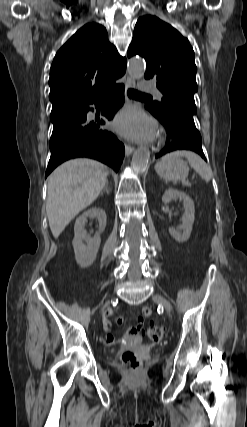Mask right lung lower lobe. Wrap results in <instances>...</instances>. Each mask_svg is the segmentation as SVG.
<instances>
[{
	"instance_id": "1",
	"label": "right lung lower lobe",
	"mask_w": 247,
	"mask_h": 427,
	"mask_svg": "<svg viewBox=\"0 0 247 427\" xmlns=\"http://www.w3.org/2000/svg\"><path fill=\"white\" fill-rule=\"evenodd\" d=\"M124 86L116 85L102 97L80 105H66L52 109L50 120L53 132L50 138L51 156L45 173V178L62 162L77 158L88 157L99 160L116 172L122 163L124 145L111 132L103 130L104 119L87 117L89 104L95 103L101 109V114L108 120L123 105ZM113 101L106 108V104Z\"/></svg>"
}]
</instances>
